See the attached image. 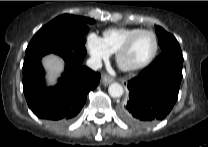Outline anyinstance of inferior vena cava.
Listing matches in <instances>:
<instances>
[{
	"label": "inferior vena cava",
	"instance_id": "inferior-vena-cava-1",
	"mask_svg": "<svg viewBox=\"0 0 208 147\" xmlns=\"http://www.w3.org/2000/svg\"><path fill=\"white\" fill-rule=\"evenodd\" d=\"M87 66L93 70H98L102 67V61L98 57H91L86 62Z\"/></svg>",
	"mask_w": 208,
	"mask_h": 147
}]
</instances>
